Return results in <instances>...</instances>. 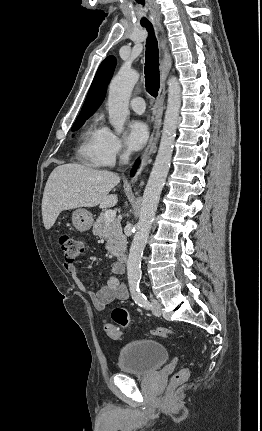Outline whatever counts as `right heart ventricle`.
Segmentation results:
<instances>
[{
	"label": "right heart ventricle",
	"instance_id": "obj_1",
	"mask_svg": "<svg viewBox=\"0 0 262 431\" xmlns=\"http://www.w3.org/2000/svg\"><path fill=\"white\" fill-rule=\"evenodd\" d=\"M102 128L98 121L94 119L82 135L79 156L87 165L92 167L103 165L99 148Z\"/></svg>",
	"mask_w": 262,
	"mask_h": 431
}]
</instances>
